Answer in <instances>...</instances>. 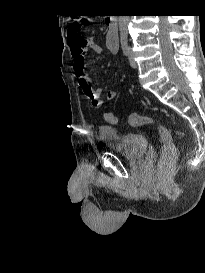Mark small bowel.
Here are the masks:
<instances>
[{
    "instance_id": "small-bowel-1",
    "label": "small bowel",
    "mask_w": 205,
    "mask_h": 273,
    "mask_svg": "<svg viewBox=\"0 0 205 273\" xmlns=\"http://www.w3.org/2000/svg\"><path fill=\"white\" fill-rule=\"evenodd\" d=\"M106 47L107 50L112 54H115L118 50L116 33L111 30H108L106 35ZM70 50L73 57V72L81 91L86 96V98L89 99L93 108H102L104 104V100L101 97L102 88L92 87L91 78L85 71V58L87 52L91 51L93 53L100 54L102 52L101 46L94 38L91 37L86 39L85 46H79L70 41ZM116 95L117 92L115 90H109L106 93V99L113 100L116 98Z\"/></svg>"
}]
</instances>
